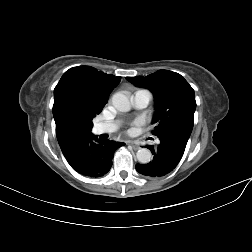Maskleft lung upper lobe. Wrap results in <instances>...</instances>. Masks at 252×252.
<instances>
[{"label": "left lung upper lobe", "mask_w": 252, "mask_h": 252, "mask_svg": "<svg viewBox=\"0 0 252 252\" xmlns=\"http://www.w3.org/2000/svg\"><path fill=\"white\" fill-rule=\"evenodd\" d=\"M126 79L137 87L149 89L155 98L156 112L152 123L157 126L152 132L160 137L169 133L190 136L196 109L195 93L189 83L178 73L158 70L146 77Z\"/></svg>", "instance_id": "obj_1"}]
</instances>
